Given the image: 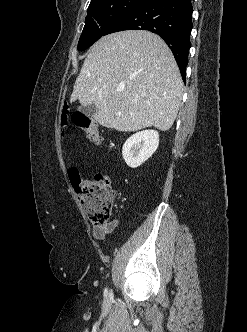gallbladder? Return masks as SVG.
Here are the masks:
<instances>
[{
    "instance_id": "bac80fb5",
    "label": "gallbladder",
    "mask_w": 247,
    "mask_h": 332,
    "mask_svg": "<svg viewBox=\"0 0 247 332\" xmlns=\"http://www.w3.org/2000/svg\"><path fill=\"white\" fill-rule=\"evenodd\" d=\"M77 109H78V111L84 113L87 116H91V117L94 116V114L97 111L96 106L94 104L87 105V106L81 105Z\"/></svg>"
}]
</instances>
